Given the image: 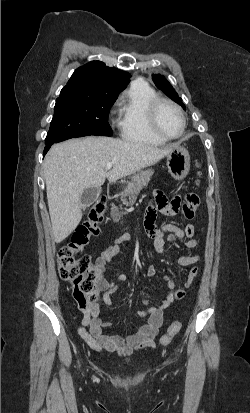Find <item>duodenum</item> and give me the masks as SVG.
<instances>
[{
  "label": "duodenum",
  "instance_id": "1",
  "mask_svg": "<svg viewBox=\"0 0 250 413\" xmlns=\"http://www.w3.org/2000/svg\"><path fill=\"white\" fill-rule=\"evenodd\" d=\"M117 189H118L117 184H114V183L109 184L107 187V196L109 198L115 197L117 194Z\"/></svg>",
  "mask_w": 250,
  "mask_h": 413
}]
</instances>
